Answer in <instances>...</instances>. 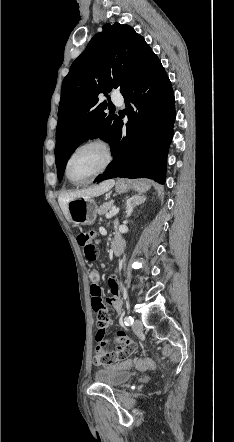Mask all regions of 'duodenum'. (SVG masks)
<instances>
[{"label":"duodenum","mask_w":234,"mask_h":442,"mask_svg":"<svg viewBox=\"0 0 234 442\" xmlns=\"http://www.w3.org/2000/svg\"><path fill=\"white\" fill-rule=\"evenodd\" d=\"M111 252L114 255H120L123 251V241L121 238L117 237L113 240L111 244Z\"/></svg>","instance_id":"duodenum-1"}]
</instances>
